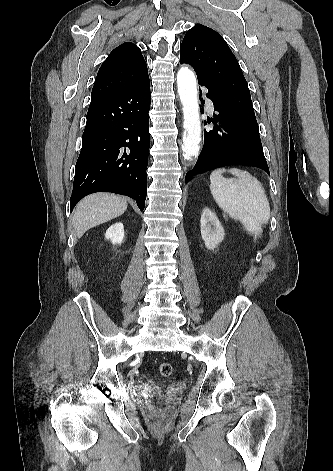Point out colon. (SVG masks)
Returning a JSON list of instances; mask_svg holds the SVG:
<instances>
[{
    "instance_id": "colon-1",
    "label": "colon",
    "mask_w": 333,
    "mask_h": 471,
    "mask_svg": "<svg viewBox=\"0 0 333 471\" xmlns=\"http://www.w3.org/2000/svg\"><path fill=\"white\" fill-rule=\"evenodd\" d=\"M158 371H159L160 376L167 378L172 374V366L171 364L167 362H163L159 365ZM162 419H163V411L162 409H158V419H157L158 426L162 424Z\"/></svg>"
}]
</instances>
